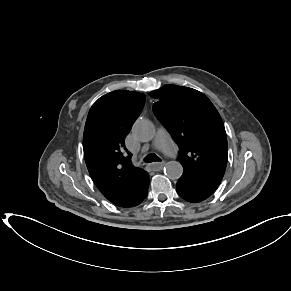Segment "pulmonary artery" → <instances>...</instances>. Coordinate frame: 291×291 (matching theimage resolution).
<instances>
[{"instance_id": "pulmonary-artery-1", "label": "pulmonary artery", "mask_w": 291, "mask_h": 291, "mask_svg": "<svg viewBox=\"0 0 291 291\" xmlns=\"http://www.w3.org/2000/svg\"><path fill=\"white\" fill-rule=\"evenodd\" d=\"M154 146L156 149L164 152L169 156L177 153V146L171 139L170 135L164 128H159L154 139Z\"/></svg>"}]
</instances>
